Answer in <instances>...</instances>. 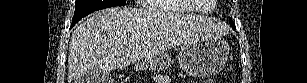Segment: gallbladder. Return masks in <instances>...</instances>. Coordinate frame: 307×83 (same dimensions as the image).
<instances>
[{
	"label": "gallbladder",
	"mask_w": 307,
	"mask_h": 83,
	"mask_svg": "<svg viewBox=\"0 0 307 83\" xmlns=\"http://www.w3.org/2000/svg\"><path fill=\"white\" fill-rule=\"evenodd\" d=\"M111 75L100 70H89L79 79V83H110Z\"/></svg>",
	"instance_id": "1"
}]
</instances>
